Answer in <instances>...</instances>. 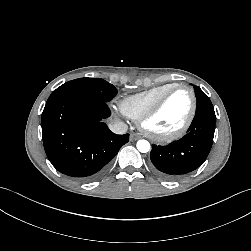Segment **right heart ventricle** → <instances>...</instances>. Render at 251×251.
Instances as JSON below:
<instances>
[{
    "label": "right heart ventricle",
    "instance_id": "1",
    "mask_svg": "<svg viewBox=\"0 0 251 251\" xmlns=\"http://www.w3.org/2000/svg\"><path fill=\"white\" fill-rule=\"evenodd\" d=\"M176 84H163L148 90L123 97L119 101L120 111L132 120L140 117L157 101L168 89Z\"/></svg>",
    "mask_w": 251,
    "mask_h": 251
}]
</instances>
